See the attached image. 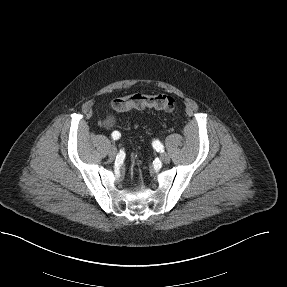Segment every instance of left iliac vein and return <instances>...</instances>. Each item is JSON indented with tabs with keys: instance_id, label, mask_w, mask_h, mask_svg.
<instances>
[{
	"instance_id": "1",
	"label": "left iliac vein",
	"mask_w": 287,
	"mask_h": 287,
	"mask_svg": "<svg viewBox=\"0 0 287 287\" xmlns=\"http://www.w3.org/2000/svg\"><path fill=\"white\" fill-rule=\"evenodd\" d=\"M161 160L164 162V163H169L170 161V157L167 153H162L161 154Z\"/></svg>"
}]
</instances>
